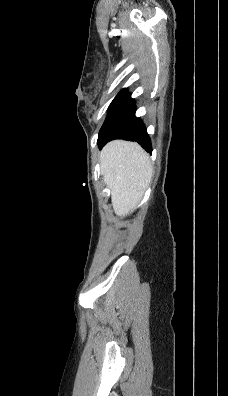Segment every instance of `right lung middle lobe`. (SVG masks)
Instances as JSON below:
<instances>
[{"label": "right lung middle lobe", "mask_w": 228, "mask_h": 396, "mask_svg": "<svg viewBox=\"0 0 228 396\" xmlns=\"http://www.w3.org/2000/svg\"><path fill=\"white\" fill-rule=\"evenodd\" d=\"M123 91H124V89L121 90V91L118 93V95L116 96V98H117ZM116 98H115V99H116ZM115 99H114V100H115ZM114 100H113V101H114Z\"/></svg>", "instance_id": "dd1d6c3e"}]
</instances>
